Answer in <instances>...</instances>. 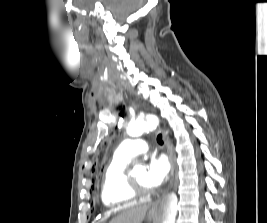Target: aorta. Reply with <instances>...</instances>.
I'll list each match as a JSON object with an SVG mask.
<instances>
[{
  "instance_id": "aorta-1",
  "label": "aorta",
  "mask_w": 267,
  "mask_h": 223,
  "mask_svg": "<svg viewBox=\"0 0 267 223\" xmlns=\"http://www.w3.org/2000/svg\"><path fill=\"white\" fill-rule=\"evenodd\" d=\"M158 124L157 119L147 118L145 120H137L131 122L127 127V134L132 137H139L144 132L153 130ZM143 169L142 166L137 165L134 167L135 172ZM178 205V196L172 192L165 195L159 204V210L156 222L157 223H175Z\"/></svg>"
}]
</instances>
